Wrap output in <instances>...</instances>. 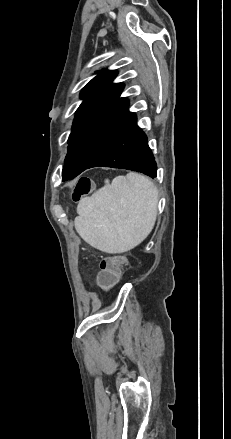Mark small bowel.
Instances as JSON below:
<instances>
[{
	"label": "small bowel",
	"instance_id": "obj_1",
	"mask_svg": "<svg viewBox=\"0 0 231 439\" xmlns=\"http://www.w3.org/2000/svg\"><path fill=\"white\" fill-rule=\"evenodd\" d=\"M97 284H98V286L100 285V283H99V282H97Z\"/></svg>",
	"mask_w": 231,
	"mask_h": 439
}]
</instances>
